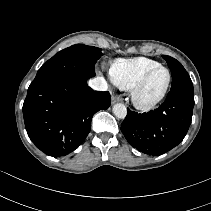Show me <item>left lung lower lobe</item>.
Here are the masks:
<instances>
[{
  "mask_svg": "<svg viewBox=\"0 0 211 211\" xmlns=\"http://www.w3.org/2000/svg\"><path fill=\"white\" fill-rule=\"evenodd\" d=\"M194 91L171 90L159 108L138 114L128 109L121 131L131 146L152 156L177 146L192 120Z\"/></svg>",
  "mask_w": 211,
  "mask_h": 211,
  "instance_id": "0a47b994",
  "label": "left lung lower lobe"
}]
</instances>
